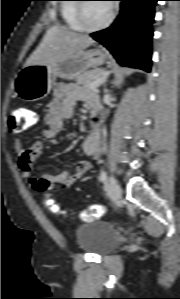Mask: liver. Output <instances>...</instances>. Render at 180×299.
I'll use <instances>...</instances> for the list:
<instances>
[{
  "instance_id": "1",
  "label": "liver",
  "mask_w": 180,
  "mask_h": 299,
  "mask_svg": "<svg viewBox=\"0 0 180 299\" xmlns=\"http://www.w3.org/2000/svg\"><path fill=\"white\" fill-rule=\"evenodd\" d=\"M94 43L88 35L76 33L63 26L50 27L38 47L27 59L24 66L31 64L48 65L64 59Z\"/></svg>"
}]
</instances>
